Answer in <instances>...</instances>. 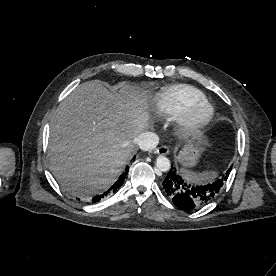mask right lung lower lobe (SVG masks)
<instances>
[{
  "instance_id": "right-lung-lower-lobe-1",
  "label": "right lung lower lobe",
  "mask_w": 276,
  "mask_h": 276,
  "mask_svg": "<svg viewBox=\"0 0 276 276\" xmlns=\"http://www.w3.org/2000/svg\"><path fill=\"white\" fill-rule=\"evenodd\" d=\"M128 172V169L126 168V172L124 174H122L119 179L111 186L110 189H108L105 193L101 194V195H98V196H95L92 201L93 202H98L100 201V199H103L104 197L110 195V194H113L115 193L118 188L123 184L124 182V178H125V174Z\"/></svg>"
}]
</instances>
